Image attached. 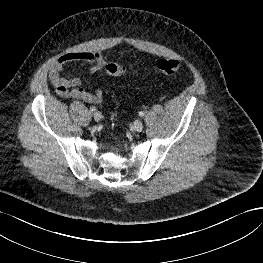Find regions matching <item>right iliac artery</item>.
I'll return each instance as SVG.
<instances>
[{
  "mask_svg": "<svg viewBox=\"0 0 263 263\" xmlns=\"http://www.w3.org/2000/svg\"><path fill=\"white\" fill-rule=\"evenodd\" d=\"M90 110H91L92 112H95V111H96V107H95V106H91V107H90Z\"/></svg>",
  "mask_w": 263,
  "mask_h": 263,
  "instance_id": "82829eb1",
  "label": "right iliac artery"
}]
</instances>
